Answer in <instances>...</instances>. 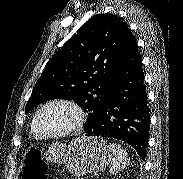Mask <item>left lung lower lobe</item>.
Masks as SVG:
<instances>
[{
	"label": "left lung lower lobe",
	"mask_w": 183,
	"mask_h": 179,
	"mask_svg": "<svg viewBox=\"0 0 183 179\" xmlns=\"http://www.w3.org/2000/svg\"><path fill=\"white\" fill-rule=\"evenodd\" d=\"M150 115L142 61L132 33L114 72L103 109L87 135L115 138L146 156Z\"/></svg>",
	"instance_id": "1"
}]
</instances>
